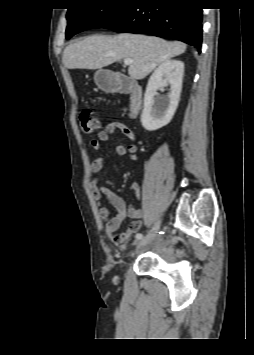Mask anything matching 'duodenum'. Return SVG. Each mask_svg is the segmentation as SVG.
I'll list each match as a JSON object with an SVG mask.
<instances>
[{
  "instance_id": "obj_1",
  "label": "duodenum",
  "mask_w": 254,
  "mask_h": 355,
  "mask_svg": "<svg viewBox=\"0 0 254 355\" xmlns=\"http://www.w3.org/2000/svg\"><path fill=\"white\" fill-rule=\"evenodd\" d=\"M102 87L108 91L129 94L128 115L131 119L138 115L143 101V90L140 85L134 83L128 77L119 75L105 80Z\"/></svg>"
}]
</instances>
